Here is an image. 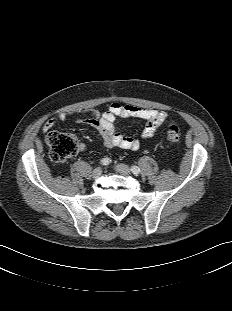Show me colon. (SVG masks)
<instances>
[{
	"label": "colon",
	"instance_id": "obj_1",
	"mask_svg": "<svg viewBox=\"0 0 232 311\" xmlns=\"http://www.w3.org/2000/svg\"><path fill=\"white\" fill-rule=\"evenodd\" d=\"M167 137L171 142L179 141L181 130L176 125H170L167 128ZM47 143L50 147L51 158L55 162H65L77 152V139L69 133L51 131L46 136Z\"/></svg>",
	"mask_w": 232,
	"mask_h": 311
}]
</instances>
